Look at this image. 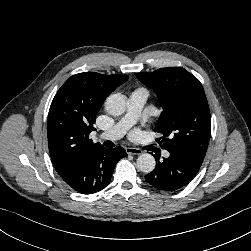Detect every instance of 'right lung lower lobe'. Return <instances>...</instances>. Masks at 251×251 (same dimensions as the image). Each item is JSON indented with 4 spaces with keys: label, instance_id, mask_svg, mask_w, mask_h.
Masks as SVG:
<instances>
[{
    "label": "right lung lower lobe",
    "instance_id": "98d812e1",
    "mask_svg": "<svg viewBox=\"0 0 251 251\" xmlns=\"http://www.w3.org/2000/svg\"><path fill=\"white\" fill-rule=\"evenodd\" d=\"M125 155L122 147L90 149L62 179L79 193H96L110 183L116 163Z\"/></svg>",
    "mask_w": 251,
    "mask_h": 251
}]
</instances>
